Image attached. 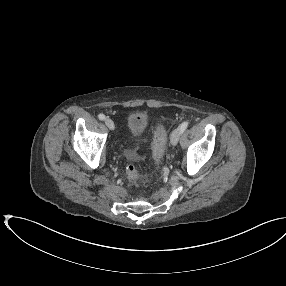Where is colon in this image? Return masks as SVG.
Returning <instances> with one entry per match:
<instances>
[{
    "mask_svg": "<svg viewBox=\"0 0 286 286\" xmlns=\"http://www.w3.org/2000/svg\"><path fill=\"white\" fill-rule=\"evenodd\" d=\"M166 143V129L164 125H159L154 133L153 143H152V156L154 163L156 165L160 164L164 155ZM126 156L129 159H133L136 156L134 150H129L126 152ZM127 178L131 181H135L140 178L136 167L133 164H128L126 167Z\"/></svg>",
    "mask_w": 286,
    "mask_h": 286,
    "instance_id": "1",
    "label": "colon"
}]
</instances>
